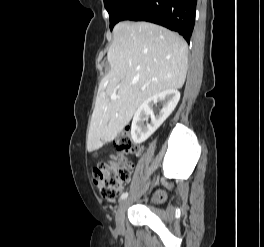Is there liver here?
<instances>
[{"mask_svg": "<svg viewBox=\"0 0 264 247\" xmlns=\"http://www.w3.org/2000/svg\"><path fill=\"white\" fill-rule=\"evenodd\" d=\"M107 59L110 71L99 86L87 138L89 152L114 140L148 98L184 85L188 46L161 26L123 21L113 29ZM114 94L118 99H111Z\"/></svg>", "mask_w": 264, "mask_h": 247, "instance_id": "obj_1", "label": "liver"}]
</instances>
